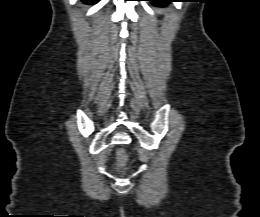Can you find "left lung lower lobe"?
<instances>
[{
  "mask_svg": "<svg viewBox=\"0 0 260 217\" xmlns=\"http://www.w3.org/2000/svg\"><path fill=\"white\" fill-rule=\"evenodd\" d=\"M148 1H151L153 4L158 6H165L169 2H173L174 0H148Z\"/></svg>",
  "mask_w": 260,
  "mask_h": 217,
  "instance_id": "0a47b994",
  "label": "left lung lower lobe"
}]
</instances>
